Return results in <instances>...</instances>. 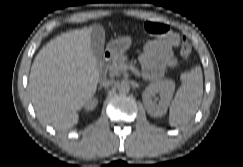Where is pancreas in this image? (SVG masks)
Listing matches in <instances>:
<instances>
[{
  "label": "pancreas",
  "mask_w": 243,
  "mask_h": 167,
  "mask_svg": "<svg viewBox=\"0 0 243 167\" xmlns=\"http://www.w3.org/2000/svg\"><path fill=\"white\" fill-rule=\"evenodd\" d=\"M136 64V61L134 62ZM127 65V56L119 55L113 58L112 62L107 65L110 77L119 76L123 71V66Z\"/></svg>",
  "instance_id": "obj_1"
}]
</instances>
